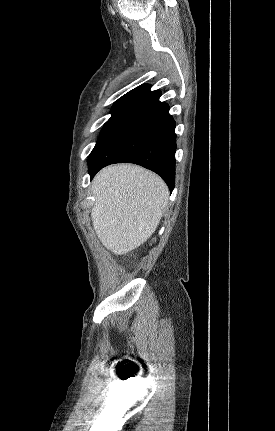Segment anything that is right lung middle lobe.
<instances>
[{"label": "right lung middle lobe", "instance_id": "right-lung-middle-lobe-1", "mask_svg": "<svg viewBox=\"0 0 275 431\" xmlns=\"http://www.w3.org/2000/svg\"><path fill=\"white\" fill-rule=\"evenodd\" d=\"M132 112H114L110 119L105 123L103 131L92 150L88 163L90 164L104 146L114 137V135L132 118Z\"/></svg>", "mask_w": 275, "mask_h": 431}]
</instances>
